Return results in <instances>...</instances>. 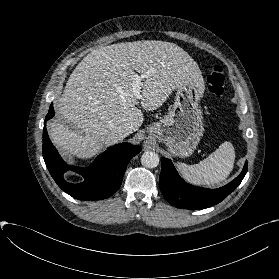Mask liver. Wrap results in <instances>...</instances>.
<instances>
[{
    "instance_id": "liver-1",
    "label": "liver",
    "mask_w": 279,
    "mask_h": 279,
    "mask_svg": "<svg viewBox=\"0 0 279 279\" xmlns=\"http://www.w3.org/2000/svg\"><path fill=\"white\" fill-rule=\"evenodd\" d=\"M135 71L145 74L141 108H159L178 85L194 83L204 90L198 64L174 43L122 42L93 50L76 66L63 94L55 100L56 112L65 119L50 124L52 142L69 157L88 159L105 146L121 142L122 129L137 131L142 110L133 93Z\"/></svg>"
}]
</instances>
